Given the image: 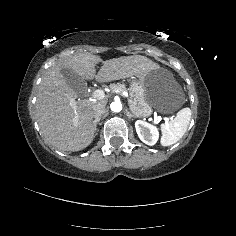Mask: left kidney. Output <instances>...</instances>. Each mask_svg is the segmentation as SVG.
<instances>
[{"label":"left kidney","instance_id":"1","mask_svg":"<svg viewBox=\"0 0 236 236\" xmlns=\"http://www.w3.org/2000/svg\"><path fill=\"white\" fill-rule=\"evenodd\" d=\"M135 128L139 138L147 145H155L160 137L159 128L145 120H136Z\"/></svg>","mask_w":236,"mask_h":236}]
</instances>
